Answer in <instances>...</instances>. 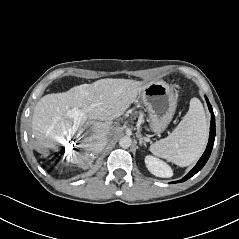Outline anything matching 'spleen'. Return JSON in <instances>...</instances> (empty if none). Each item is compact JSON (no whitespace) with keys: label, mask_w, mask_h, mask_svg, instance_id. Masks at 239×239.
Segmentation results:
<instances>
[{"label":"spleen","mask_w":239,"mask_h":239,"mask_svg":"<svg viewBox=\"0 0 239 239\" xmlns=\"http://www.w3.org/2000/svg\"><path fill=\"white\" fill-rule=\"evenodd\" d=\"M208 139V126L202 103L190 100L189 110L175 130L166 138L150 145L157 157L186 167L203 153Z\"/></svg>","instance_id":"obj_1"}]
</instances>
